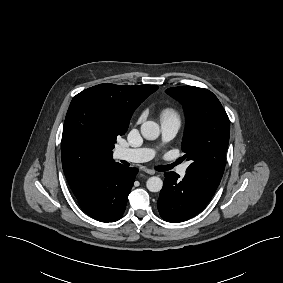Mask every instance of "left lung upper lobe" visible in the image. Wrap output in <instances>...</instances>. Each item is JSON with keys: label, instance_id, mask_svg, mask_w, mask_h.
Wrapping results in <instances>:
<instances>
[{"label": "left lung upper lobe", "instance_id": "obj_1", "mask_svg": "<svg viewBox=\"0 0 283 283\" xmlns=\"http://www.w3.org/2000/svg\"><path fill=\"white\" fill-rule=\"evenodd\" d=\"M165 92L179 101L185 111L182 150L191 161L186 175L214 193L225 169L229 118L217 97L207 89L183 86Z\"/></svg>", "mask_w": 283, "mask_h": 283}]
</instances>
